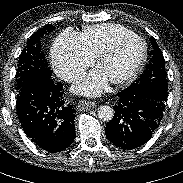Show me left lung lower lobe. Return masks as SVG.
I'll return each instance as SVG.
<instances>
[{"label": "left lung lower lobe", "mask_w": 183, "mask_h": 183, "mask_svg": "<svg viewBox=\"0 0 183 183\" xmlns=\"http://www.w3.org/2000/svg\"><path fill=\"white\" fill-rule=\"evenodd\" d=\"M114 118L106 125L105 134L116 147L135 149L146 143L159 127L165 102L125 89L117 94Z\"/></svg>", "instance_id": "1"}]
</instances>
